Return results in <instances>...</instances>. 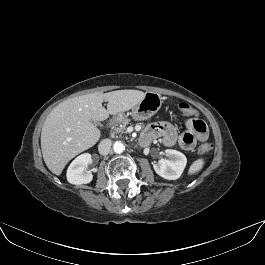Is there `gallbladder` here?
I'll list each match as a JSON object with an SVG mask.
<instances>
[{
    "label": "gallbladder",
    "instance_id": "1",
    "mask_svg": "<svg viewBox=\"0 0 265 265\" xmlns=\"http://www.w3.org/2000/svg\"><path fill=\"white\" fill-rule=\"evenodd\" d=\"M93 124L97 125V123L95 121H93Z\"/></svg>",
    "mask_w": 265,
    "mask_h": 265
}]
</instances>
